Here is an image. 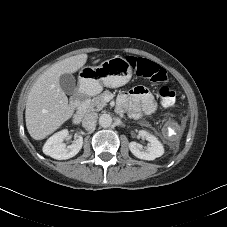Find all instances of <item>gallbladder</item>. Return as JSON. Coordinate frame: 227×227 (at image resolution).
<instances>
[{"label": "gallbladder", "instance_id": "1", "mask_svg": "<svg viewBox=\"0 0 227 227\" xmlns=\"http://www.w3.org/2000/svg\"><path fill=\"white\" fill-rule=\"evenodd\" d=\"M59 84L61 89L68 95L76 92V80L72 74L65 73L60 76Z\"/></svg>", "mask_w": 227, "mask_h": 227}]
</instances>
